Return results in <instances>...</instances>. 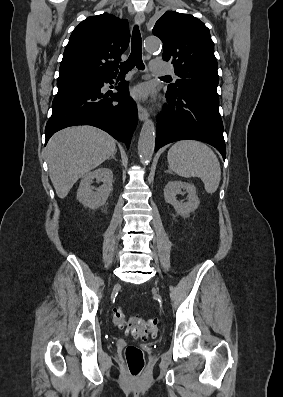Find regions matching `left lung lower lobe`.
<instances>
[{
    "label": "left lung lower lobe",
    "mask_w": 283,
    "mask_h": 397,
    "mask_svg": "<svg viewBox=\"0 0 283 397\" xmlns=\"http://www.w3.org/2000/svg\"><path fill=\"white\" fill-rule=\"evenodd\" d=\"M169 102L157 118L155 151L178 140H199L226 157L219 99L194 91L168 90Z\"/></svg>",
    "instance_id": "0a47b994"
}]
</instances>
